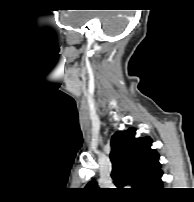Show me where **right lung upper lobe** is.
Segmentation results:
<instances>
[{"label":"right lung upper lobe","instance_id":"right-lung-upper-lobe-1","mask_svg":"<svg viewBox=\"0 0 194 202\" xmlns=\"http://www.w3.org/2000/svg\"><path fill=\"white\" fill-rule=\"evenodd\" d=\"M136 130L116 132L111 140V177L118 188L133 184L141 194L152 193L162 187V171L159 155L151 149L150 137L135 138ZM88 186L97 188L96 181Z\"/></svg>","mask_w":194,"mask_h":202}]
</instances>
